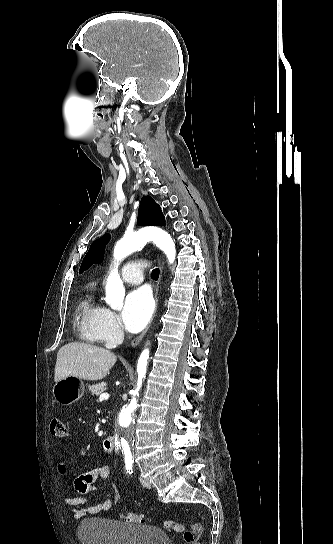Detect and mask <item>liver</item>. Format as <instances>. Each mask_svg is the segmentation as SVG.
Instances as JSON below:
<instances>
[{
    "label": "liver",
    "mask_w": 333,
    "mask_h": 544,
    "mask_svg": "<svg viewBox=\"0 0 333 544\" xmlns=\"http://www.w3.org/2000/svg\"><path fill=\"white\" fill-rule=\"evenodd\" d=\"M117 357L110 350L87 343L71 342L57 353L54 380L67 376L84 380H101L115 364Z\"/></svg>",
    "instance_id": "liver-1"
}]
</instances>
